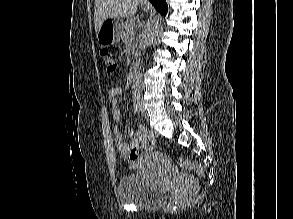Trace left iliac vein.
<instances>
[{"mask_svg": "<svg viewBox=\"0 0 293 219\" xmlns=\"http://www.w3.org/2000/svg\"><path fill=\"white\" fill-rule=\"evenodd\" d=\"M140 105H141V114L142 116L148 120V112L146 111V109L144 108L143 106V103H142V99L140 100Z\"/></svg>", "mask_w": 293, "mask_h": 219, "instance_id": "4c4485c4", "label": "left iliac vein"}]
</instances>
